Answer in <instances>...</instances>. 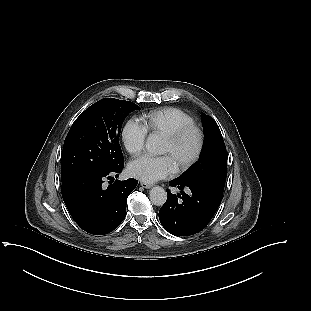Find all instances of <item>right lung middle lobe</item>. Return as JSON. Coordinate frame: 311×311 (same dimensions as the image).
Listing matches in <instances>:
<instances>
[{"instance_id": "right-lung-middle-lobe-1", "label": "right lung middle lobe", "mask_w": 311, "mask_h": 311, "mask_svg": "<svg viewBox=\"0 0 311 311\" xmlns=\"http://www.w3.org/2000/svg\"><path fill=\"white\" fill-rule=\"evenodd\" d=\"M136 104L104 98L87 108L72 124L63 146L61 181L87 171H104L123 164L119 144L122 123L139 110Z\"/></svg>"}]
</instances>
